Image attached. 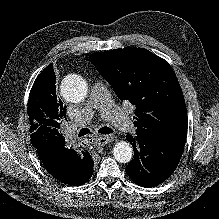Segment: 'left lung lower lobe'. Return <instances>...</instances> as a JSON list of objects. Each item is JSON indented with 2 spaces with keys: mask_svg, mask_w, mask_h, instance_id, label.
Wrapping results in <instances>:
<instances>
[{
  "mask_svg": "<svg viewBox=\"0 0 219 219\" xmlns=\"http://www.w3.org/2000/svg\"><path fill=\"white\" fill-rule=\"evenodd\" d=\"M135 151L126 173L137 185L150 188L164 182L176 169L184 145H171L155 138L127 134Z\"/></svg>",
  "mask_w": 219,
  "mask_h": 219,
  "instance_id": "obj_1",
  "label": "left lung lower lobe"
}]
</instances>
